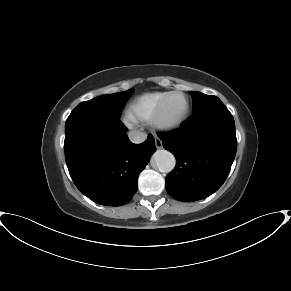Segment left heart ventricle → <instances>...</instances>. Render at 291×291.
Instances as JSON below:
<instances>
[{"label": "left heart ventricle", "instance_id": "b2bd125f", "mask_svg": "<svg viewBox=\"0 0 291 291\" xmlns=\"http://www.w3.org/2000/svg\"><path fill=\"white\" fill-rule=\"evenodd\" d=\"M186 110V99L181 95L173 96L167 103L163 119L167 123L179 121Z\"/></svg>", "mask_w": 291, "mask_h": 291}]
</instances>
